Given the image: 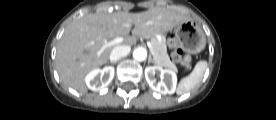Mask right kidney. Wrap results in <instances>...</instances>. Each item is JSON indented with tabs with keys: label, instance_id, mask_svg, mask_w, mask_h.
<instances>
[{
	"label": "right kidney",
	"instance_id": "obj_1",
	"mask_svg": "<svg viewBox=\"0 0 276 120\" xmlns=\"http://www.w3.org/2000/svg\"><path fill=\"white\" fill-rule=\"evenodd\" d=\"M114 67L106 66L103 69H93L85 77L86 85L93 91H100L105 88L114 77Z\"/></svg>",
	"mask_w": 276,
	"mask_h": 120
}]
</instances>
